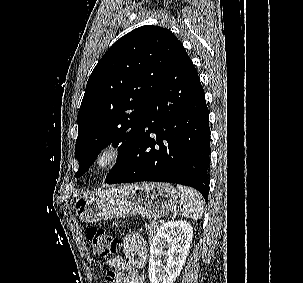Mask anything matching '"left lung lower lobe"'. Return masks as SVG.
<instances>
[{
	"label": "left lung lower lobe",
	"mask_w": 303,
	"mask_h": 283,
	"mask_svg": "<svg viewBox=\"0 0 303 283\" xmlns=\"http://www.w3.org/2000/svg\"><path fill=\"white\" fill-rule=\"evenodd\" d=\"M208 113L197 71L183 49L151 99L129 158L106 183L182 184L197 189L207 201Z\"/></svg>",
	"instance_id": "1"
}]
</instances>
